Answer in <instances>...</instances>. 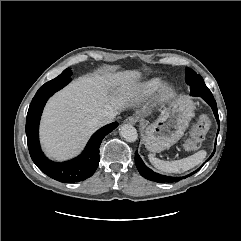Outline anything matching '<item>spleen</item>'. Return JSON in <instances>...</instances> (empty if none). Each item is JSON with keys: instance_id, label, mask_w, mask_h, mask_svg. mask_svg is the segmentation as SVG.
<instances>
[{"instance_id": "1", "label": "spleen", "mask_w": 241, "mask_h": 241, "mask_svg": "<svg viewBox=\"0 0 241 241\" xmlns=\"http://www.w3.org/2000/svg\"><path fill=\"white\" fill-rule=\"evenodd\" d=\"M206 157V151L200 150L195 154L176 161L160 160L153 155H149L151 164L158 170L166 173H180L185 172L198 164L202 163Z\"/></svg>"}]
</instances>
